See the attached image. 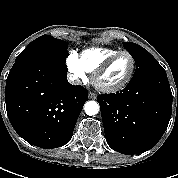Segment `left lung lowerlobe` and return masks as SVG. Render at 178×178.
I'll return each instance as SVG.
<instances>
[{"label": "left lung lower lobe", "mask_w": 178, "mask_h": 178, "mask_svg": "<svg viewBox=\"0 0 178 178\" xmlns=\"http://www.w3.org/2000/svg\"><path fill=\"white\" fill-rule=\"evenodd\" d=\"M105 138L122 154H138L160 140L172 112V92L165 71L132 79L116 94L99 95Z\"/></svg>", "instance_id": "1"}]
</instances>
